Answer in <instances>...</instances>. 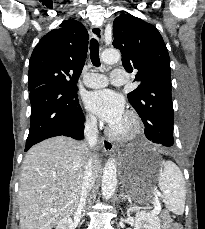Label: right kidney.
Wrapping results in <instances>:
<instances>
[{
	"mask_svg": "<svg viewBox=\"0 0 205 229\" xmlns=\"http://www.w3.org/2000/svg\"><path fill=\"white\" fill-rule=\"evenodd\" d=\"M56 229H74L73 221L70 217L63 218L57 225Z\"/></svg>",
	"mask_w": 205,
	"mask_h": 229,
	"instance_id": "1",
	"label": "right kidney"
}]
</instances>
